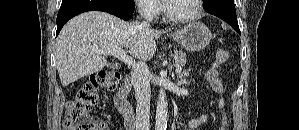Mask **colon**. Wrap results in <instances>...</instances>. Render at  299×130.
Wrapping results in <instances>:
<instances>
[{
  "instance_id": "colon-1",
  "label": "colon",
  "mask_w": 299,
  "mask_h": 130,
  "mask_svg": "<svg viewBox=\"0 0 299 130\" xmlns=\"http://www.w3.org/2000/svg\"><path fill=\"white\" fill-rule=\"evenodd\" d=\"M229 59V53L225 49H219L216 53V61L209 71V77L213 84L221 92L216 79V67ZM120 81V74L114 71H100L92 74L89 79L78 90L74 99L66 104L64 117V130H107L104 124L96 121L90 116V110L99 101L100 89H113ZM226 124V115H223L222 127Z\"/></svg>"
}]
</instances>
